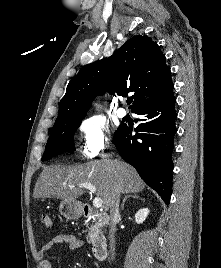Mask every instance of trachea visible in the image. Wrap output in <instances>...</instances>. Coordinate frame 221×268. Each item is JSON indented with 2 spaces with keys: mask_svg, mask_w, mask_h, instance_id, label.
<instances>
[{
  "mask_svg": "<svg viewBox=\"0 0 221 268\" xmlns=\"http://www.w3.org/2000/svg\"><path fill=\"white\" fill-rule=\"evenodd\" d=\"M132 103V100H127V104H131Z\"/></svg>",
  "mask_w": 221,
  "mask_h": 268,
  "instance_id": "1",
  "label": "trachea"
}]
</instances>
